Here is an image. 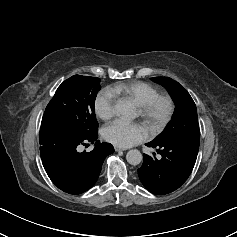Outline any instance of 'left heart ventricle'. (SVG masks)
<instances>
[{
    "instance_id": "obj_1",
    "label": "left heart ventricle",
    "mask_w": 237,
    "mask_h": 237,
    "mask_svg": "<svg viewBox=\"0 0 237 237\" xmlns=\"http://www.w3.org/2000/svg\"><path fill=\"white\" fill-rule=\"evenodd\" d=\"M165 110H166L165 104H161V105H159V107L157 109V114L162 115L165 112Z\"/></svg>"
}]
</instances>
